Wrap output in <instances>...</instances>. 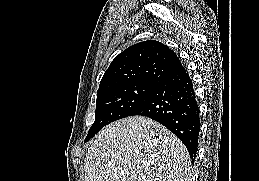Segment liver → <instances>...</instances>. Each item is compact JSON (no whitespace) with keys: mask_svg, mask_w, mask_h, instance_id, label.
<instances>
[{"mask_svg":"<svg viewBox=\"0 0 259 181\" xmlns=\"http://www.w3.org/2000/svg\"><path fill=\"white\" fill-rule=\"evenodd\" d=\"M84 181H192L184 144L143 116L104 127L90 142Z\"/></svg>","mask_w":259,"mask_h":181,"instance_id":"liver-1","label":"liver"}]
</instances>
